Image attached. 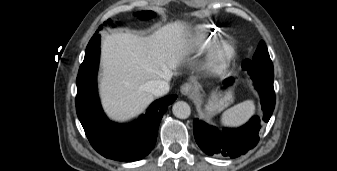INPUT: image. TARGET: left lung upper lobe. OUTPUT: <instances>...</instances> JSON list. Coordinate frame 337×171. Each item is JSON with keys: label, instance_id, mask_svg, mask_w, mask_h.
<instances>
[{"label": "left lung upper lobe", "instance_id": "left-lung-upper-lobe-1", "mask_svg": "<svg viewBox=\"0 0 337 171\" xmlns=\"http://www.w3.org/2000/svg\"><path fill=\"white\" fill-rule=\"evenodd\" d=\"M244 70H258L273 73V64L264 41H260L252 60H245L242 64Z\"/></svg>", "mask_w": 337, "mask_h": 171}]
</instances>
